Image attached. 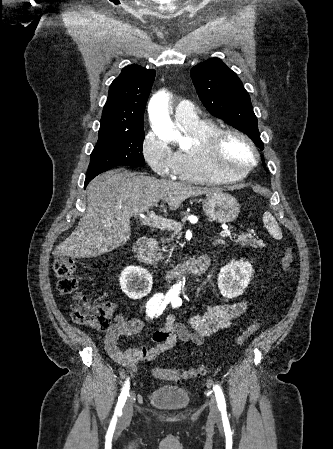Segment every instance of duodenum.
<instances>
[{
  "label": "duodenum",
  "instance_id": "410a0bca",
  "mask_svg": "<svg viewBox=\"0 0 333 449\" xmlns=\"http://www.w3.org/2000/svg\"><path fill=\"white\" fill-rule=\"evenodd\" d=\"M157 240L151 237L143 238L135 247V253L138 260L146 266L152 264L154 254L157 249ZM210 260L207 255H202L190 262L186 269L192 275H200L209 267ZM177 273L172 272L167 275V280L171 281L176 278Z\"/></svg>",
  "mask_w": 333,
  "mask_h": 449
}]
</instances>
